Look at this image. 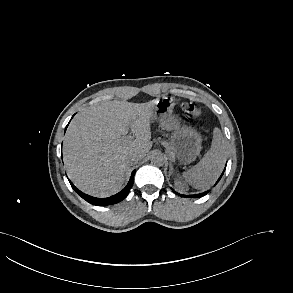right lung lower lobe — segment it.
I'll return each instance as SVG.
<instances>
[{
  "label": "right lung lower lobe",
  "instance_id": "right-lung-lower-lobe-1",
  "mask_svg": "<svg viewBox=\"0 0 293 293\" xmlns=\"http://www.w3.org/2000/svg\"><path fill=\"white\" fill-rule=\"evenodd\" d=\"M134 173H135V170L132 172V175H131V178H130L128 184L126 185V187L122 191H120L119 193H117L111 197H107V198H96V197L89 196V195L81 192L80 190H78L70 181L69 182H70L72 188L87 202H89L93 205H97V206H107V205L116 204V203L122 201L124 198H126V196L128 195V193L133 185Z\"/></svg>",
  "mask_w": 293,
  "mask_h": 293
}]
</instances>
